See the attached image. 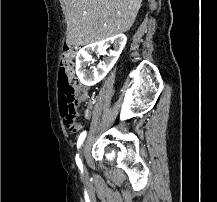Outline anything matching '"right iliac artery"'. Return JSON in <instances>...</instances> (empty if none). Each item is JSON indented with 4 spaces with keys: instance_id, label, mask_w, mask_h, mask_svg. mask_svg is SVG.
Returning <instances> with one entry per match:
<instances>
[{
    "instance_id": "obj_1",
    "label": "right iliac artery",
    "mask_w": 217,
    "mask_h": 202,
    "mask_svg": "<svg viewBox=\"0 0 217 202\" xmlns=\"http://www.w3.org/2000/svg\"><path fill=\"white\" fill-rule=\"evenodd\" d=\"M86 137V131L82 132L78 138L77 141V148H79L81 146V144L83 143L84 139ZM76 163H82L81 160L79 159V155L76 154Z\"/></svg>"
}]
</instances>
